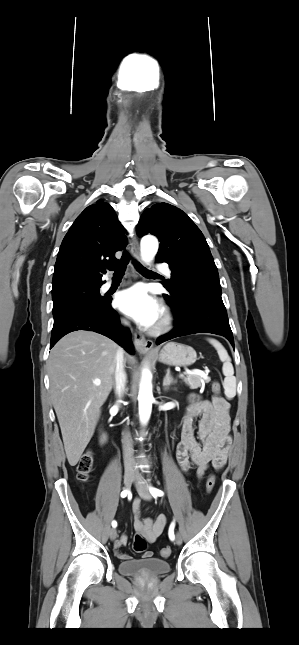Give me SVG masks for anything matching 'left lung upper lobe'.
<instances>
[{
	"label": "left lung upper lobe",
	"instance_id": "obj_1",
	"mask_svg": "<svg viewBox=\"0 0 299 645\" xmlns=\"http://www.w3.org/2000/svg\"><path fill=\"white\" fill-rule=\"evenodd\" d=\"M136 231L139 237L152 234L159 239L156 260L167 262L172 270L171 279L162 282L164 287L175 289L189 275L219 277L204 235L179 208L154 204L144 211Z\"/></svg>",
	"mask_w": 299,
	"mask_h": 645
}]
</instances>
